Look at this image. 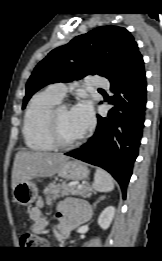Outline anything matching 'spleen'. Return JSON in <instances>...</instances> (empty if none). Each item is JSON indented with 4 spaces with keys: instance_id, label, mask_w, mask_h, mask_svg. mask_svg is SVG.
Wrapping results in <instances>:
<instances>
[{
    "instance_id": "obj_1",
    "label": "spleen",
    "mask_w": 162,
    "mask_h": 261,
    "mask_svg": "<svg viewBox=\"0 0 162 261\" xmlns=\"http://www.w3.org/2000/svg\"><path fill=\"white\" fill-rule=\"evenodd\" d=\"M93 188L98 192H110L114 189V180L108 172L97 168L94 175Z\"/></svg>"
}]
</instances>
